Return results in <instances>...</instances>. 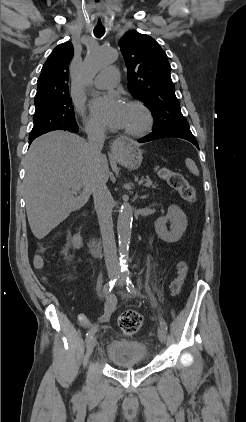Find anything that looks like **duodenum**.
<instances>
[{
  "label": "duodenum",
  "mask_w": 246,
  "mask_h": 422,
  "mask_svg": "<svg viewBox=\"0 0 246 422\" xmlns=\"http://www.w3.org/2000/svg\"><path fill=\"white\" fill-rule=\"evenodd\" d=\"M90 246H91V250L94 254H96V255L100 254L101 246H100V243L97 239L91 238L90 239Z\"/></svg>",
  "instance_id": "410a0bca"
}]
</instances>
